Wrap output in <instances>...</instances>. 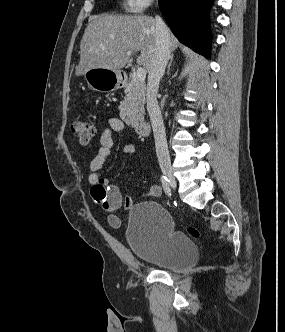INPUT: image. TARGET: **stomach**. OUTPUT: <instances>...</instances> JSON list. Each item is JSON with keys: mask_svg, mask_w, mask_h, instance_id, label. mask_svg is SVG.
I'll use <instances>...</instances> for the list:
<instances>
[{"mask_svg": "<svg viewBox=\"0 0 285 332\" xmlns=\"http://www.w3.org/2000/svg\"><path fill=\"white\" fill-rule=\"evenodd\" d=\"M85 80L92 90L110 92L118 89L122 82L120 70L92 68L84 73Z\"/></svg>", "mask_w": 285, "mask_h": 332, "instance_id": "obj_1", "label": "stomach"}]
</instances>
